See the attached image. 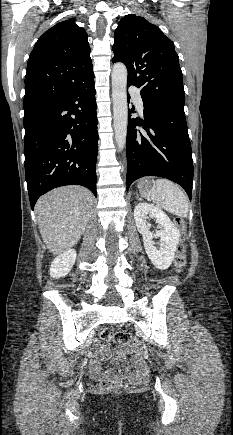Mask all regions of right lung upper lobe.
I'll return each mask as SVG.
<instances>
[{
  "mask_svg": "<svg viewBox=\"0 0 233 435\" xmlns=\"http://www.w3.org/2000/svg\"><path fill=\"white\" fill-rule=\"evenodd\" d=\"M85 30L75 19L57 23L36 42L25 76V115L59 99L93 74Z\"/></svg>",
  "mask_w": 233,
  "mask_h": 435,
  "instance_id": "right-lung-upper-lobe-1",
  "label": "right lung upper lobe"
}]
</instances>
